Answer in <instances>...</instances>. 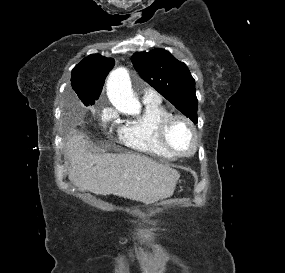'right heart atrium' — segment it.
<instances>
[{
    "label": "right heart atrium",
    "instance_id": "1",
    "mask_svg": "<svg viewBox=\"0 0 285 273\" xmlns=\"http://www.w3.org/2000/svg\"><path fill=\"white\" fill-rule=\"evenodd\" d=\"M115 118L116 113L110 108H105L101 113V120L104 124L114 121Z\"/></svg>",
    "mask_w": 285,
    "mask_h": 273
}]
</instances>
